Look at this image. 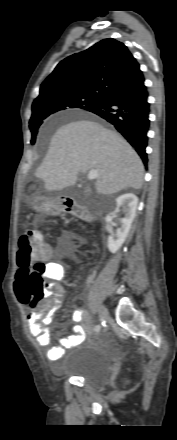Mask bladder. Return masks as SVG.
<instances>
[{
  "mask_svg": "<svg viewBox=\"0 0 177 440\" xmlns=\"http://www.w3.org/2000/svg\"><path fill=\"white\" fill-rule=\"evenodd\" d=\"M112 371V361L99 352L92 341H82L77 345L74 357L65 365V375L83 379L88 385L100 388L108 381Z\"/></svg>",
  "mask_w": 177,
  "mask_h": 440,
  "instance_id": "1",
  "label": "bladder"
}]
</instances>
